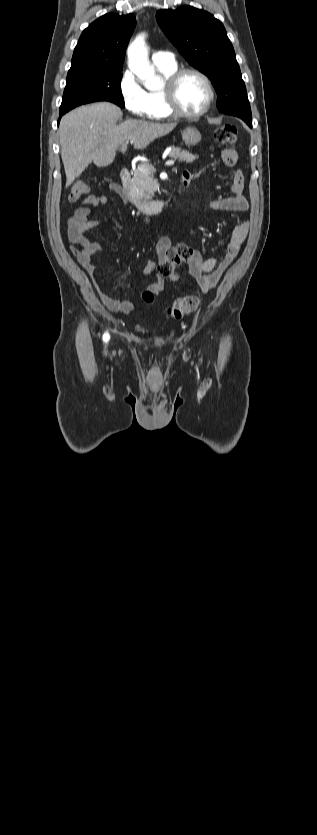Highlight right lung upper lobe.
Masks as SVG:
<instances>
[{"label":"right lung upper lobe","instance_id":"1","mask_svg":"<svg viewBox=\"0 0 317 835\" xmlns=\"http://www.w3.org/2000/svg\"><path fill=\"white\" fill-rule=\"evenodd\" d=\"M136 25L135 16L105 14L81 34L71 68L91 66L122 69L125 50Z\"/></svg>","mask_w":317,"mask_h":835}]
</instances>
